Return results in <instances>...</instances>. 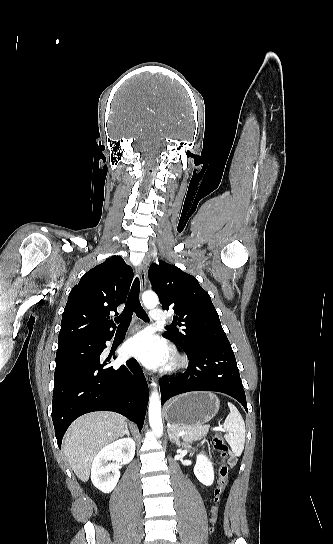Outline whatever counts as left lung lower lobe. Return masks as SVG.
<instances>
[{
    "label": "left lung lower lobe",
    "mask_w": 333,
    "mask_h": 544,
    "mask_svg": "<svg viewBox=\"0 0 333 544\" xmlns=\"http://www.w3.org/2000/svg\"><path fill=\"white\" fill-rule=\"evenodd\" d=\"M187 370L174 378L160 380L161 403L190 391H216L238 400L248 412L246 396L232 348L202 346L186 352Z\"/></svg>",
    "instance_id": "left-lung-lower-lobe-1"
}]
</instances>
